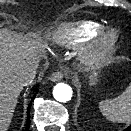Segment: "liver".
Segmentation results:
<instances>
[{
  "label": "liver",
  "mask_w": 131,
  "mask_h": 131,
  "mask_svg": "<svg viewBox=\"0 0 131 131\" xmlns=\"http://www.w3.org/2000/svg\"><path fill=\"white\" fill-rule=\"evenodd\" d=\"M40 43L0 30V131H7L23 86L19 74L38 62Z\"/></svg>",
  "instance_id": "liver-1"
}]
</instances>
